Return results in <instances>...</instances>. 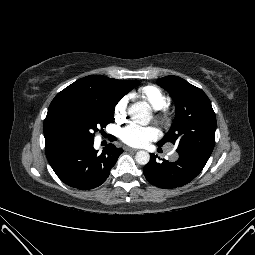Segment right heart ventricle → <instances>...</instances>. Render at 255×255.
Listing matches in <instances>:
<instances>
[{"label": "right heart ventricle", "mask_w": 255, "mask_h": 255, "mask_svg": "<svg viewBox=\"0 0 255 255\" xmlns=\"http://www.w3.org/2000/svg\"><path fill=\"white\" fill-rule=\"evenodd\" d=\"M136 96L147 102L155 110L163 109L169 104L168 96L154 85L141 87Z\"/></svg>", "instance_id": "e07e8e85"}]
</instances>
